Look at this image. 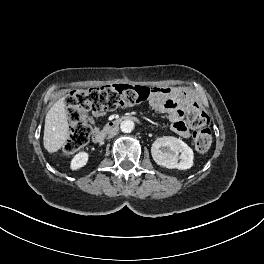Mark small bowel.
I'll return each instance as SVG.
<instances>
[{
  "label": "small bowel",
  "mask_w": 264,
  "mask_h": 264,
  "mask_svg": "<svg viewBox=\"0 0 264 264\" xmlns=\"http://www.w3.org/2000/svg\"><path fill=\"white\" fill-rule=\"evenodd\" d=\"M190 95L180 88L154 87L150 96V106L159 113L168 115L172 130L182 137L190 136V129L185 123L184 112L190 102ZM94 117H100L103 112L93 111ZM94 123L93 119H90Z\"/></svg>",
  "instance_id": "small-bowel-1"
}]
</instances>
